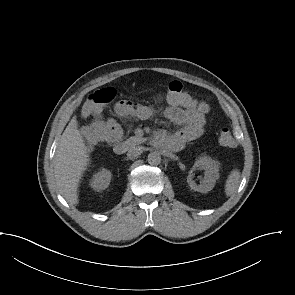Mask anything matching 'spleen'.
<instances>
[{"instance_id": "obj_1", "label": "spleen", "mask_w": 295, "mask_h": 295, "mask_svg": "<svg viewBox=\"0 0 295 295\" xmlns=\"http://www.w3.org/2000/svg\"><path fill=\"white\" fill-rule=\"evenodd\" d=\"M240 174L241 173L238 169H233L228 175L225 184V194L227 196H231L238 188L240 182Z\"/></svg>"}]
</instances>
